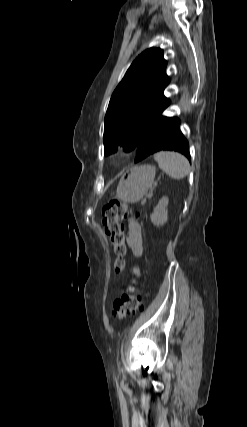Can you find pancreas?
<instances>
[{
	"mask_svg": "<svg viewBox=\"0 0 247 427\" xmlns=\"http://www.w3.org/2000/svg\"><path fill=\"white\" fill-rule=\"evenodd\" d=\"M152 196V193H150L149 195H148V197H151Z\"/></svg>",
	"mask_w": 247,
	"mask_h": 427,
	"instance_id": "cf45deb5",
	"label": "pancreas"
}]
</instances>
